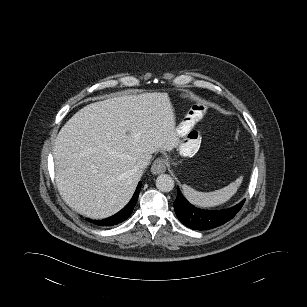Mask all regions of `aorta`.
Returning <instances> with one entry per match:
<instances>
[{
	"mask_svg": "<svg viewBox=\"0 0 307 307\" xmlns=\"http://www.w3.org/2000/svg\"><path fill=\"white\" fill-rule=\"evenodd\" d=\"M156 187L162 192H170L174 188V180L168 174H161L156 179Z\"/></svg>",
	"mask_w": 307,
	"mask_h": 307,
	"instance_id": "762f6f07",
	"label": "aorta"
}]
</instances>
